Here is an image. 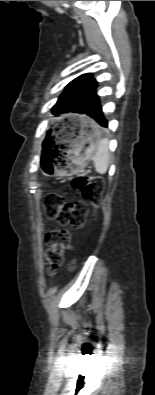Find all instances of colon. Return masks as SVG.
Masks as SVG:
<instances>
[{"instance_id": "obj_1", "label": "colon", "mask_w": 155, "mask_h": 395, "mask_svg": "<svg viewBox=\"0 0 155 395\" xmlns=\"http://www.w3.org/2000/svg\"><path fill=\"white\" fill-rule=\"evenodd\" d=\"M72 187L76 189L85 200L65 202L63 197L57 193H48L43 198V211L48 219L56 220L64 227L81 228L88 213V202L95 205L100 200L104 181L97 176L81 175L75 177ZM46 260L53 272L61 266L64 252L70 247L71 233L68 229H55L47 233Z\"/></svg>"}]
</instances>
